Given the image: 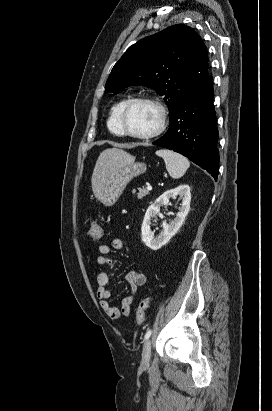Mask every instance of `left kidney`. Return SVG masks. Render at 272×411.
<instances>
[{"instance_id":"left-kidney-1","label":"left kidney","mask_w":272,"mask_h":411,"mask_svg":"<svg viewBox=\"0 0 272 411\" xmlns=\"http://www.w3.org/2000/svg\"><path fill=\"white\" fill-rule=\"evenodd\" d=\"M182 199L181 207L176 214V218L172 220L169 224L166 222L163 223V231L157 236L154 237V232L151 230V219L156 218L159 215L163 218V215L160 213V206L167 205L169 199L175 196H178ZM191 202V193L189 185H180L177 188L167 190L161 196H159L153 204H151L145 214L142 227H141V236L142 241L147 247L152 250H158L178 232L180 227L185 221V218L190 210Z\"/></svg>"}]
</instances>
